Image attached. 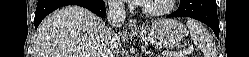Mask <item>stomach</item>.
<instances>
[{
	"label": "stomach",
	"mask_w": 249,
	"mask_h": 57,
	"mask_svg": "<svg viewBox=\"0 0 249 57\" xmlns=\"http://www.w3.org/2000/svg\"><path fill=\"white\" fill-rule=\"evenodd\" d=\"M186 33L183 24L176 19H160L136 32L143 42L164 48H173L181 43Z\"/></svg>",
	"instance_id": "stomach-1"
}]
</instances>
